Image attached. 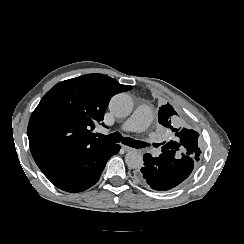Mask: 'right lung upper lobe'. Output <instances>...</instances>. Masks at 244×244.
<instances>
[{
	"mask_svg": "<svg viewBox=\"0 0 244 244\" xmlns=\"http://www.w3.org/2000/svg\"><path fill=\"white\" fill-rule=\"evenodd\" d=\"M131 88L98 73L56 84L41 99L28 124L30 150L38 167L109 144L91 131L103 120L112 96Z\"/></svg>",
	"mask_w": 244,
	"mask_h": 244,
	"instance_id": "1",
	"label": "right lung upper lobe"
}]
</instances>
